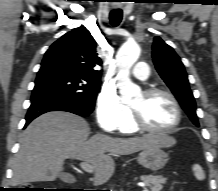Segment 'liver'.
<instances>
[{"label":"liver","mask_w":218,"mask_h":191,"mask_svg":"<svg viewBox=\"0 0 218 191\" xmlns=\"http://www.w3.org/2000/svg\"><path fill=\"white\" fill-rule=\"evenodd\" d=\"M89 135L88 123L68 112H48L36 118L20 138V148L13 163L12 185L54 181L67 158L91 163L95 172L93 181L103 184L115 170L111 154L129 155L151 146L171 147L176 143L166 134L134 138L96 134L88 139Z\"/></svg>","instance_id":"1"}]
</instances>
